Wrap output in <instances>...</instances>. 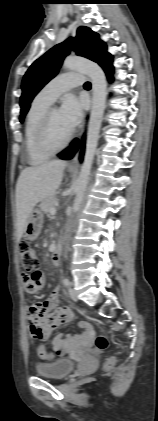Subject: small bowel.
<instances>
[{
	"instance_id": "obj_1",
	"label": "small bowel",
	"mask_w": 158,
	"mask_h": 421,
	"mask_svg": "<svg viewBox=\"0 0 158 421\" xmlns=\"http://www.w3.org/2000/svg\"><path fill=\"white\" fill-rule=\"evenodd\" d=\"M35 276L39 283L37 289H40L45 283V277L41 271H37ZM72 319L73 313L69 308L59 307V288H56L46 300L34 303L28 308L29 330L37 340H47L62 323ZM78 326L85 332H89L91 329L90 325L83 321L79 322ZM78 339L80 338L71 334L61 333L53 339L52 345L54 350L62 355Z\"/></svg>"
}]
</instances>
